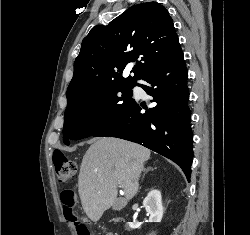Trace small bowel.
I'll return each instance as SVG.
<instances>
[{
  "mask_svg": "<svg viewBox=\"0 0 250 235\" xmlns=\"http://www.w3.org/2000/svg\"><path fill=\"white\" fill-rule=\"evenodd\" d=\"M107 235H115V234H113V233H108Z\"/></svg>",
  "mask_w": 250,
  "mask_h": 235,
  "instance_id": "obj_1",
  "label": "small bowel"
}]
</instances>
